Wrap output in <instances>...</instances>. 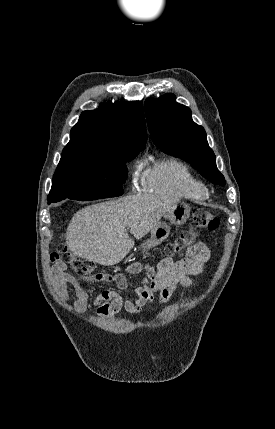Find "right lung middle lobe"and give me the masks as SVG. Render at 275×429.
<instances>
[{"mask_svg": "<svg viewBox=\"0 0 275 429\" xmlns=\"http://www.w3.org/2000/svg\"><path fill=\"white\" fill-rule=\"evenodd\" d=\"M137 154L61 158L48 195L49 203L66 198L86 201L122 195V184L128 175L125 163Z\"/></svg>", "mask_w": 275, "mask_h": 429, "instance_id": "dd1d6c3e", "label": "right lung middle lobe"}]
</instances>
